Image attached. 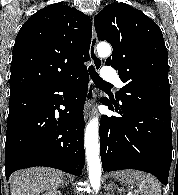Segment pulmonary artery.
Wrapping results in <instances>:
<instances>
[{
  "mask_svg": "<svg viewBox=\"0 0 178 195\" xmlns=\"http://www.w3.org/2000/svg\"><path fill=\"white\" fill-rule=\"evenodd\" d=\"M101 73H102L104 81L107 84H109V85L115 84L118 87H122L123 84H122L121 80L118 78L116 72L114 71V69L111 66H104L102 68Z\"/></svg>",
  "mask_w": 178,
  "mask_h": 195,
  "instance_id": "e3ab8cb5",
  "label": "pulmonary artery"
}]
</instances>
